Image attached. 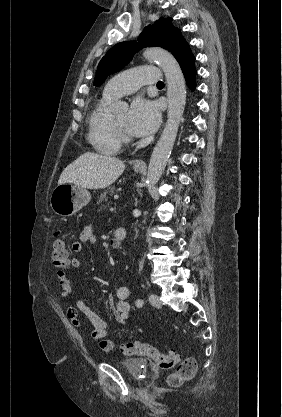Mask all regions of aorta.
I'll return each mask as SVG.
<instances>
[{
	"mask_svg": "<svg viewBox=\"0 0 282 417\" xmlns=\"http://www.w3.org/2000/svg\"><path fill=\"white\" fill-rule=\"evenodd\" d=\"M143 56L149 60H155L162 68L166 76L168 98L167 122L154 146L147 170V186L151 190L165 170L177 136L179 122L186 104V84L179 62L168 50L153 46V48H146ZM127 108L128 102L118 100L113 110H127Z\"/></svg>",
	"mask_w": 282,
	"mask_h": 417,
	"instance_id": "1",
	"label": "aorta"
}]
</instances>
